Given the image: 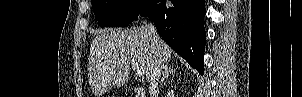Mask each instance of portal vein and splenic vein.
Instances as JSON below:
<instances>
[{
  "instance_id": "portal-vein-and-splenic-vein-1",
  "label": "portal vein and splenic vein",
  "mask_w": 302,
  "mask_h": 97,
  "mask_svg": "<svg viewBox=\"0 0 302 97\" xmlns=\"http://www.w3.org/2000/svg\"><path fill=\"white\" fill-rule=\"evenodd\" d=\"M132 68L135 70V74L138 77H143L144 75V70L143 68L140 66V64L136 61V60H131L130 61Z\"/></svg>"
}]
</instances>
